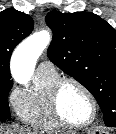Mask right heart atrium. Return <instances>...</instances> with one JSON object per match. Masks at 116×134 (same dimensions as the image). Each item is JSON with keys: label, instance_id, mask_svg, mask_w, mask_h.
<instances>
[{"label": "right heart atrium", "instance_id": "d8ad5b80", "mask_svg": "<svg viewBox=\"0 0 116 134\" xmlns=\"http://www.w3.org/2000/svg\"><path fill=\"white\" fill-rule=\"evenodd\" d=\"M22 96H23V93L20 90H18L16 88L11 89L10 100L16 109L18 107V103H19L20 99L22 98Z\"/></svg>", "mask_w": 116, "mask_h": 134}]
</instances>
